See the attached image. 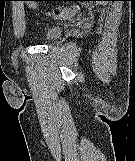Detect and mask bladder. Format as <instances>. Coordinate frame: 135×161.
Here are the masks:
<instances>
[{
    "label": "bladder",
    "mask_w": 135,
    "mask_h": 161,
    "mask_svg": "<svg viewBox=\"0 0 135 161\" xmlns=\"http://www.w3.org/2000/svg\"><path fill=\"white\" fill-rule=\"evenodd\" d=\"M62 29L59 26H53L46 31L45 39L47 42L57 39L61 35Z\"/></svg>",
    "instance_id": "bladder-1"
}]
</instances>
